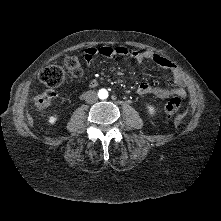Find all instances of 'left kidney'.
I'll return each mask as SVG.
<instances>
[{"mask_svg": "<svg viewBox=\"0 0 221 221\" xmlns=\"http://www.w3.org/2000/svg\"><path fill=\"white\" fill-rule=\"evenodd\" d=\"M146 108L148 110V113L151 115V116H155L156 115V109L153 105H151L150 103H147L146 104Z\"/></svg>", "mask_w": 221, "mask_h": 221, "instance_id": "5707ae66", "label": "left kidney"}]
</instances>
